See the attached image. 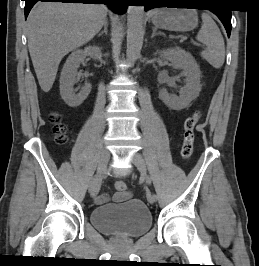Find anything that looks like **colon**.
<instances>
[{
    "label": "colon",
    "instance_id": "5ec220e1",
    "mask_svg": "<svg viewBox=\"0 0 259 266\" xmlns=\"http://www.w3.org/2000/svg\"><path fill=\"white\" fill-rule=\"evenodd\" d=\"M201 117L200 111L194 112L192 115L186 118L184 121V133L181 146V157L183 159H189L193 153L194 141H195V127L197 126ZM50 121L53 124L54 132L56 134V140L60 144H64L67 141V127L62 123L60 115L56 112L50 114ZM115 189L119 193L127 192V185L124 181H116Z\"/></svg>",
    "mask_w": 259,
    "mask_h": 266
}]
</instances>
